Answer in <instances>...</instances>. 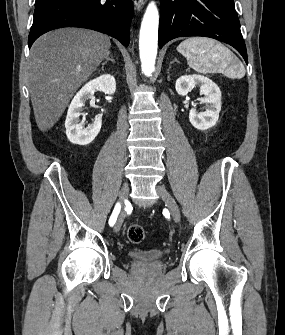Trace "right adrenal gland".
<instances>
[{
    "mask_svg": "<svg viewBox=\"0 0 285 335\" xmlns=\"http://www.w3.org/2000/svg\"><path fill=\"white\" fill-rule=\"evenodd\" d=\"M107 62H113V64H115V60H113V56H109V54H107L106 60L102 64V68H104V66H105V64H107Z\"/></svg>",
    "mask_w": 285,
    "mask_h": 335,
    "instance_id": "obj_1",
    "label": "right adrenal gland"
}]
</instances>
